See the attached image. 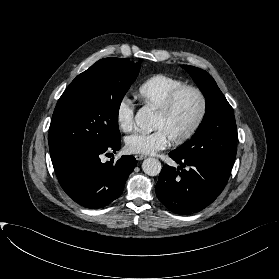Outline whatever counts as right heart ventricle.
<instances>
[{"label":"right heart ventricle","instance_id":"right-heart-ventricle-1","mask_svg":"<svg viewBox=\"0 0 279 279\" xmlns=\"http://www.w3.org/2000/svg\"><path fill=\"white\" fill-rule=\"evenodd\" d=\"M186 85L184 81L165 74H157L146 79L138 88L137 94L142 103L158 110L175 89Z\"/></svg>","mask_w":279,"mask_h":279}]
</instances>
